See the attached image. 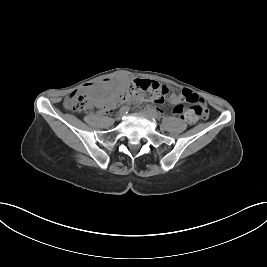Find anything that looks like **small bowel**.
<instances>
[{
  "label": "small bowel",
  "instance_id": "1",
  "mask_svg": "<svg viewBox=\"0 0 267 267\" xmlns=\"http://www.w3.org/2000/svg\"><path fill=\"white\" fill-rule=\"evenodd\" d=\"M116 95V92L113 90H108L103 96L97 97L94 100V106L97 107L99 109L100 113H106L108 111H106L105 109V105ZM182 95L181 94H177L174 92H171L169 95V102L174 105V108L176 106H181L183 108V106L181 105L182 102ZM173 108V109H174ZM184 109V108H183ZM184 120H186L188 123L193 124L195 122H197V119L194 118H188V117H183Z\"/></svg>",
  "mask_w": 267,
  "mask_h": 267
}]
</instances>
